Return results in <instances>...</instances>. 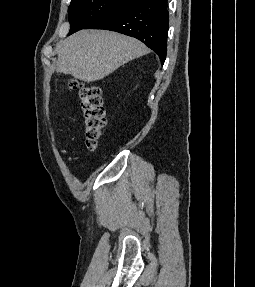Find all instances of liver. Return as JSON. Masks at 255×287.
Here are the masks:
<instances>
[{"instance_id": "liver-1", "label": "liver", "mask_w": 255, "mask_h": 287, "mask_svg": "<svg viewBox=\"0 0 255 287\" xmlns=\"http://www.w3.org/2000/svg\"><path fill=\"white\" fill-rule=\"evenodd\" d=\"M150 50L135 38L105 30H81L59 46L58 68L82 82H96Z\"/></svg>"}]
</instances>
